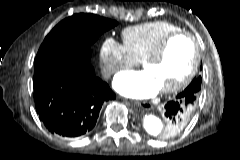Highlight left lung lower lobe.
Listing matches in <instances>:
<instances>
[{"mask_svg": "<svg viewBox=\"0 0 240 160\" xmlns=\"http://www.w3.org/2000/svg\"><path fill=\"white\" fill-rule=\"evenodd\" d=\"M197 98L196 83L190 84L184 91L177 95L175 100L169 101L165 105L164 114L173 130L183 125V113L189 110L194 111Z\"/></svg>", "mask_w": 240, "mask_h": 160, "instance_id": "1", "label": "left lung lower lobe"}]
</instances>
